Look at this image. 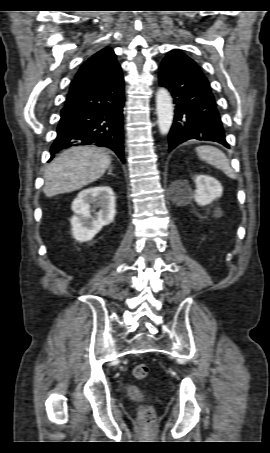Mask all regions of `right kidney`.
I'll return each mask as SVG.
<instances>
[{"instance_id": "obj_1", "label": "right kidney", "mask_w": 270, "mask_h": 453, "mask_svg": "<svg viewBox=\"0 0 270 453\" xmlns=\"http://www.w3.org/2000/svg\"><path fill=\"white\" fill-rule=\"evenodd\" d=\"M115 199L114 192L108 186L82 190L71 206L75 213L70 220L73 237L79 242L89 241L103 226L110 224L116 214ZM97 208H100L98 212Z\"/></svg>"}]
</instances>
